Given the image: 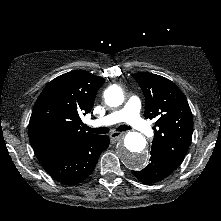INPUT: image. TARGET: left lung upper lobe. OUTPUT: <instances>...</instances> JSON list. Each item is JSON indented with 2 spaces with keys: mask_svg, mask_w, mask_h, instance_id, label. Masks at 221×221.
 I'll return each mask as SVG.
<instances>
[{
  "mask_svg": "<svg viewBox=\"0 0 221 221\" xmlns=\"http://www.w3.org/2000/svg\"><path fill=\"white\" fill-rule=\"evenodd\" d=\"M133 78L145 96V118H156L151 153L172 170L183 161L193 132V115L180 89L165 77L139 72Z\"/></svg>",
  "mask_w": 221,
  "mask_h": 221,
  "instance_id": "obj_1",
  "label": "left lung upper lobe"
}]
</instances>
